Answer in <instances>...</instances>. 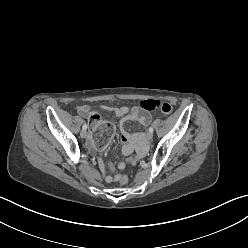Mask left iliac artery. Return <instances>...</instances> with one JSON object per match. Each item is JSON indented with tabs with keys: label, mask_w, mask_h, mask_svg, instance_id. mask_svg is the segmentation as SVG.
I'll use <instances>...</instances> for the list:
<instances>
[{
	"label": "left iliac artery",
	"mask_w": 248,
	"mask_h": 248,
	"mask_svg": "<svg viewBox=\"0 0 248 248\" xmlns=\"http://www.w3.org/2000/svg\"><path fill=\"white\" fill-rule=\"evenodd\" d=\"M149 132L153 133V128L149 127Z\"/></svg>",
	"instance_id": "left-iliac-artery-1"
}]
</instances>
